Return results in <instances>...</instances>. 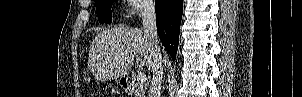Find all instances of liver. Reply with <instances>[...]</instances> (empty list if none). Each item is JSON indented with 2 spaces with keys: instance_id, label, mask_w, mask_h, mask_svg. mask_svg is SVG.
Returning a JSON list of instances; mask_svg holds the SVG:
<instances>
[{
  "instance_id": "1",
  "label": "liver",
  "mask_w": 302,
  "mask_h": 97,
  "mask_svg": "<svg viewBox=\"0 0 302 97\" xmlns=\"http://www.w3.org/2000/svg\"><path fill=\"white\" fill-rule=\"evenodd\" d=\"M142 69L152 67L154 49L142 29L114 27L103 29L94 38L89 52L88 68L104 79L124 77L134 64Z\"/></svg>"
}]
</instances>
